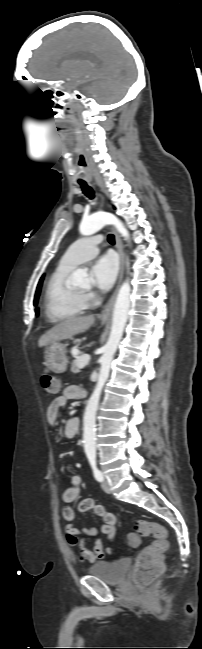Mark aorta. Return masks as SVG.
<instances>
[{"mask_svg":"<svg viewBox=\"0 0 202 649\" xmlns=\"http://www.w3.org/2000/svg\"><path fill=\"white\" fill-rule=\"evenodd\" d=\"M107 224L114 225L124 238H129V233L124 227L121 220L113 214L105 212L94 213L88 218L83 219L80 223L79 231L82 235L89 236L96 233ZM72 279L73 282L80 283L87 279V272L83 269H77L73 272ZM130 293V283L128 280H126L121 285L117 294L112 314L110 335L103 348V354L100 357V370L98 374L97 384L87 402L84 412L83 443L85 453L88 456L95 455L96 453V412L101 392L109 377L111 362L114 358L127 322L128 312L130 308Z\"/></svg>","mask_w":202,"mask_h":649,"instance_id":"obj_1","label":"aorta"}]
</instances>
